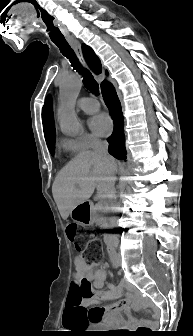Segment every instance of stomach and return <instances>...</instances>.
<instances>
[{"label": "stomach", "instance_id": "stomach-1", "mask_svg": "<svg viewBox=\"0 0 193 336\" xmlns=\"http://www.w3.org/2000/svg\"><path fill=\"white\" fill-rule=\"evenodd\" d=\"M71 218L84 225L89 226L92 225L95 221L94 213L92 211V208L88 202H83L77 206H75L71 213Z\"/></svg>", "mask_w": 193, "mask_h": 336}]
</instances>
